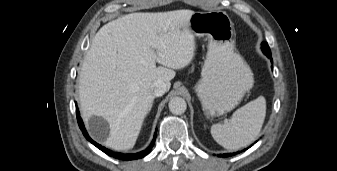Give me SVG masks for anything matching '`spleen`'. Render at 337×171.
Masks as SVG:
<instances>
[{"instance_id": "3e777b00", "label": "spleen", "mask_w": 337, "mask_h": 171, "mask_svg": "<svg viewBox=\"0 0 337 171\" xmlns=\"http://www.w3.org/2000/svg\"><path fill=\"white\" fill-rule=\"evenodd\" d=\"M266 116V100L259 96L237 109L229 120L211 127L214 140L226 149L236 150L251 144L259 135Z\"/></svg>"}]
</instances>
